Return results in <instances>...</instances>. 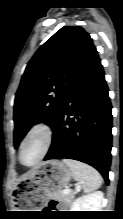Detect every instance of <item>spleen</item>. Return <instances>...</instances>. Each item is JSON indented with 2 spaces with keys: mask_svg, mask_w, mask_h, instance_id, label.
<instances>
[{
  "mask_svg": "<svg viewBox=\"0 0 123 219\" xmlns=\"http://www.w3.org/2000/svg\"><path fill=\"white\" fill-rule=\"evenodd\" d=\"M63 162L71 169L74 179L82 185L85 193L93 192L101 186L102 177L91 166L70 159H63Z\"/></svg>",
  "mask_w": 123,
  "mask_h": 219,
  "instance_id": "obj_1",
  "label": "spleen"
}]
</instances>
